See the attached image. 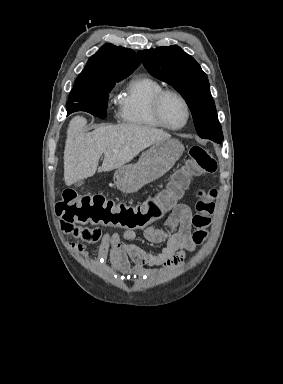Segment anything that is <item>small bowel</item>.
Returning a JSON list of instances; mask_svg holds the SVG:
<instances>
[{
  "label": "small bowel",
  "mask_w": 283,
  "mask_h": 384,
  "mask_svg": "<svg viewBox=\"0 0 283 384\" xmlns=\"http://www.w3.org/2000/svg\"><path fill=\"white\" fill-rule=\"evenodd\" d=\"M61 228L83 242H99V261L104 262L110 257L114 270L127 278L143 275L145 266H180L184 263L187 253L195 249L191 237L192 212L185 204L176 205L162 227L150 225L144 230V237L150 243L166 244L159 254H151L133 244L135 231L126 230L120 236L117 233H102L95 227H67L61 224ZM70 247L83 258L88 256L87 247L83 243L73 242ZM131 263L134 266H131Z\"/></svg>",
  "instance_id": "obj_1"
}]
</instances>
